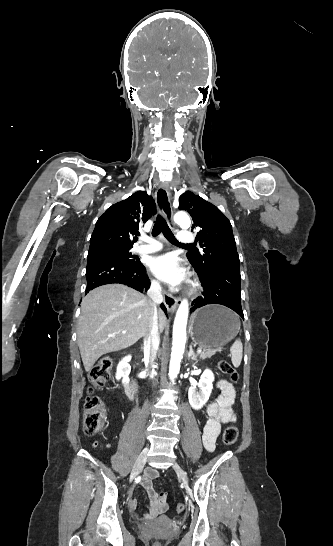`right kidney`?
Here are the masks:
<instances>
[{
	"instance_id": "obj_1",
	"label": "right kidney",
	"mask_w": 333,
	"mask_h": 546,
	"mask_svg": "<svg viewBox=\"0 0 333 546\" xmlns=\"http://www.w3.org/2000/svg\"><path fill=\"white\" fill-rule=\"evenodd\" d=\"M131 360V356L128 355L125 358H123L122 361L119 362L117 366V373H116V379L120 380L122 379L123 384H127L129 382V374L131 371V366L129 361Z\"/></svg>"
}]
</instances>
